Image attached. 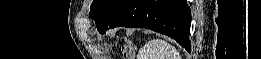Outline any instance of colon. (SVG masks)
I'll list each match as a JSON object with an SVG mask.
<instances>
[{
    "instance_id": "1",
    "label": "colon",
    "mask_w": 261,
    "mask_h": 59,
    "mask_svg": "<svg viewBox=\"0 0 261 59\" xmlns=\"http://www.w3.org/2000/svg\"><path fill=\"white\" fill-rule=\"evenodd\" d=\"M123 53H124L125 58H128V59L134 58L132 49H131V47L129 45H124L123 46Z\"/></svg>"
}]
</instances>
